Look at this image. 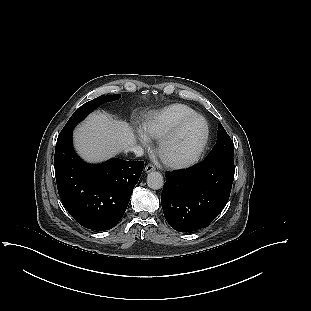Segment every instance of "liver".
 <instances>
[{
    "mask_svg": "<svg viewBox=\"0 0 311 311\" xmlns=\"http://www.w3.org/2000/svg\"><path fill=\"white\" fill-rule=\"evenodd\" d=\"M132 144H136L132 128L101 112L90 114L74 131L75 148L88 162L107 160Z\"/></svg>",
    "mask_w": 311,
    "mask_h": 311,
    "instance_id": "liver-1",
    "label": "liver"
}]
</instances>
